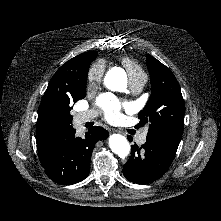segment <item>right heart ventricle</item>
<instances>
[{
  "instance_id": "right-heart-ventricle-1",
  "label": "right heart ventricle",
  "mask_w": 221,
  "mask_h": 221,
  "mask_svg": "<svg viewBox=\"0 0 221 221\" xmlns=\"http://www.w3.org/2000/svg\"><path fill=\"white\" fill-rule=\"evenodd\" d=\"M120 62L129 73L130 79L141 76V75H145L142 68L133 60L129 58H122Z\"/></svg>"
}]
</instances>
